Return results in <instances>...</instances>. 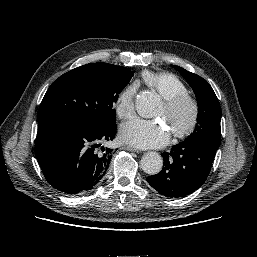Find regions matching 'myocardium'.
<instances>
[{
  "label": "myocardium",
  "mask_w": 257,
  "mask_h": 257,
  "mask_svg": "<svg viewBox=\"0 0 257 257\" xmlns=\"http://www.w3.org/2000/svg\"><path fill=\"white\" fill-rule=\"evenodd\" d=\"M162 104L167 112H173L184 104L190 105L191 116L189 120L184 126L172 133L175 138H183L189 135L195 128L199 119L200 105L198 100L194 96L186 92L169 98H163Z\"/></svg>",
  "instance_id": "obj_1"
}]
</instances>
